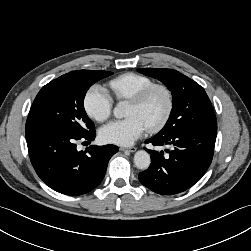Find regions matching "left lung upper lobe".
I'll list each match as a JSON object with an SVG mask.
<instances>
[{"mask_svg":"<svg viewBox=\"0 0 251 251\" xmlns=\"http://www.w3.org/2000/svg\"><path fill=\"white\" fill-rule=\"evenodd\" d=\"M137 71L160 80L172 93L170 117L156 136H166L183 128L217 126L211 102L198 83L172 69L139 68Z\"/></svg>","mask_w":251,"mask_h":251,"instance_id":"obj_1","label":"left lung upper lobe"}]
</instances>
